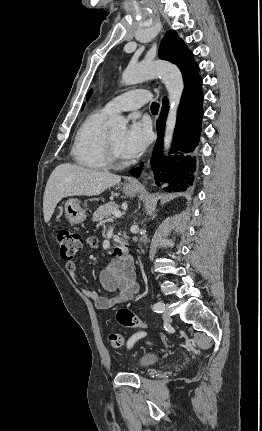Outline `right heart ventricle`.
<instances>
[{
    "label": "right heart ventricle",
    "instance_id": "right-heart-ventricle-1",
    "mask_svg": "<svg viewBox=\"0 0 262 431\" xmlns=\"http://www.w3.org/2000/svg\"><path fill=\"white\" fill-rule=\"evenodd\" d=\"M111 113L105 108L90 113L78 128L72 155L76 162L87 169L101 170L107 167L105 122Z\"/></svg>",
    "mask_w": 262,
    "mask_h": 431
}]
</instances>
